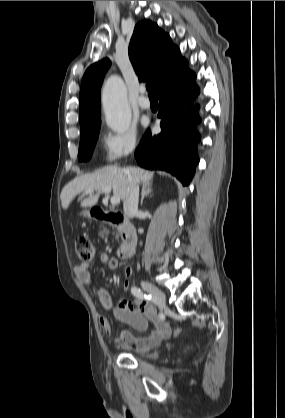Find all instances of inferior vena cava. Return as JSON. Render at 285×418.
Listing matches in <instances>:
<instances>
[{
  "label": "inferior vena cava",
  "mask_w": 285,
  "mask_h": 418,
  "mask_svg": "<svg viewBox=\"0 0 285 418\" xmlns=\"http://www.w3.org/2000/svg\"><path fill=\"white\" fill-rule=\"evenodd\" d=\"M133 150V146L126 149L125 154H129ZM128 188L125 198L123 199L124 214L128 218H132L138 213L139 186L130 176L127 178Z\"/></svg>",
  "instance_id": "1"
}]
</instances>
